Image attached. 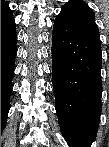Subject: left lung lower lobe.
<instances>
[{
    "mask_svg": "<svg viewBox=\"0 0 109 147\" xmlns=\"http://www.w3.org/2000/svg\"><path fill=\"white\" fill-rule=\"evenodd\" d=\"M101 43L95 16L77 3H66L52 35L55 107L69 146L91 147L102 109Z\"/></svg>",
    "mask_w": 109,
    "mask_h": 147,
    "instance_id": "1",
    "label": "left lung lower lobe"
}]
</instances>
